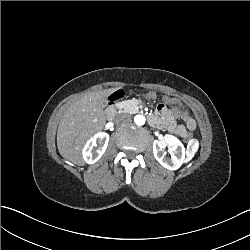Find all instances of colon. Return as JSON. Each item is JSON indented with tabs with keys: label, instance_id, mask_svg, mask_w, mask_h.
Here are the masks:
<instances>
[{
	"label": "colon",
	"instance_id": "colon-1",
	"mask_svg": "<svg viewBox=\"0 0 250 250\" xmlns=\"http://www.w3.org/2000/svg\"><path fill=\"white\" fill-rule=\"evenodd\" d=\"M124 96H125V91L123 89H117L109 96V100L116 101V100L123 98ZM169 108L174 109V107H172V106H170ZM186 124H187L188 128H190V129H193L195 127V123L192 120H186ZM193 138L194 137L191 133H185L184 137H183V142L189 143L190 141L193 140Z\"/></svg>",
	"mask_w": 250,
	"mask_h": 250
}]
</instances>
